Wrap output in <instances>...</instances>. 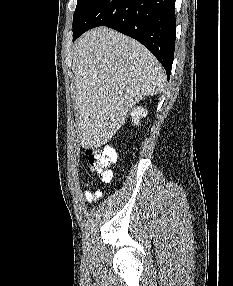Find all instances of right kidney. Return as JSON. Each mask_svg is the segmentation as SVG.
I'll return each mask as SVG.
<instances>
[{
  "mask_svg": "<svg viewBox=\"0 0 233 286\" xmlns=\"http://www.w3.org/2000/svg\"><path fill=\"white\" fill-rule=\"evenodd\" d=\"M147 110L143 107L138 106L137 108H133L131 112L132 121L134 120V124L137 125L139 123L140 118L147 116Z\"/></svg>",
  "mask_w": 233,
  "mask_h": 286,
  "instance_id": "right-kidney-1",
  "label": "right kidney"
}]
</instances>
